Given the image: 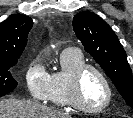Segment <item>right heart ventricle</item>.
<instances>
[{
  "label": "right heart ventricle",
  "instance_id": "right-heart-ventricle-1",
  "mask_svg": "<svg viewBox=\"0 0 133 118\" xmlns=\"http://www.w3.org/2000/svg\"><path fill=\"white\" fill-rule=\"evenodd\" d=\"M85 63L78 49H66L60 55L61 69L50 75L49 101L59 107L71 108L69 80L72 73Z\"/></svg>",
  "mask_w": 133,
  "mask_h": 118
}]
</instances>
